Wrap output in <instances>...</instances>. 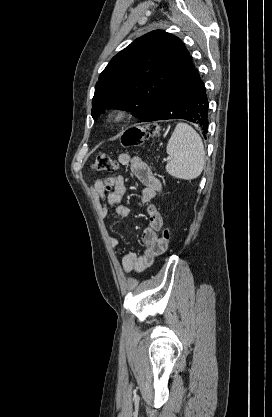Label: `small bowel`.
Listing matches in <instances>:
<instances>
[{
	"label": "small bowel",
	"instance_id": "obj_1",
	"mask_svg": "<svg viewBox=\"0 0 272 417\" xmlns=\"http://www.w3.org/2000/svg\"><path fill=\"white\" fill-rule=\"evenodd\" d=\"M117 158L121 164L130 166L133 175L144 186L140 199L144 204H147L148 227L142 235V241L146 248L142 254L135 252L125 254L121 262L126 273H140L150 267L154 259L163 254L167 248V243H163L159 236L163 227V217L157 208L150 204L162 192V183L140 157L121 153ZM90 192L98 205L101 217L105 218L108 215L109 206H115V213L119 217L126 218L129 216L130 208L122 204L126 193V185L121 174L95 180L90 187ZM109 241L113 247L120 245V240L117 237H111Z\"/></svg>",
	"mask_w": 272,
	"mask_h": 417
}]
</instances>
